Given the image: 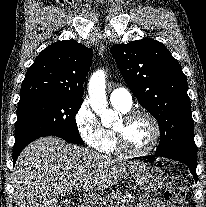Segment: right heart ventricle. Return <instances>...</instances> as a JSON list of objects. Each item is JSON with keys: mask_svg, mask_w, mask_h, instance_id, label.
<instances>
[{"mask_svg": "<svg viewBox=\"0 0 206 207\" xmlns=\"http://www.w3.org/2000/svg\"><path fill=\"white\" fill-rule=\"evenodd\" d=\"M114 108L117 109L120 112H127L129 111V109H124L121 106L115 105L113 104ZM106 135H107V148L105 151L108 152H113L117 150V143H116V138H115V134L114 131L111 129H105Z\"/></svg>", "mask_w": 206, "mask_h": 207, "instance_id": "1", "label": "right heart ventricle"}]
</instances>
